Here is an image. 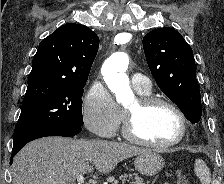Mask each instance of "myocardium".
Listing matches in <instances>:
<instances>
[{
    "label": "myocardium",
    "mask_w": 224,
    "mask_h": 184,
    "mask_svg": "<svg viewBox=\"0 0 224 184\" xmlns=\"http://www.w3.org/2000/svg\"><path fill=\"white\" fill-rule=\"evenodd\" d=\"M156 105H165L177 115L180 121V133L172 141L164 144L155 143L142 137L137 130V123L142 114ZM188 133V122L183 111L171 100L153 95L139 96L135 106L124 111L123 135L129 141L141 144L156 150H166L181 143Z\"/></svg>",
    "instance_id": "obj_1"
}]
</instances>
